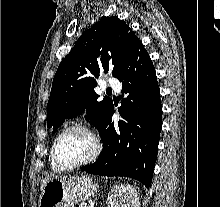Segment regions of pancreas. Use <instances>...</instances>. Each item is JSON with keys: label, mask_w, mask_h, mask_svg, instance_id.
Instances as JSON below:
<instances>
[{"label": "pancreas", "mask_w": 220, "mask_h": 207, "mask_svg": "<svg viewBox=\"0 0 220 207\" xmlns=\"http://www.w3.org/2000/svg\"><path fill=\"white\" fill-rule=\"evenodd\" d=\"M79 207H89V206H87V204L85 202H81Z\"/></svg>", "instance_id": "obj_1"}]
</instances>
